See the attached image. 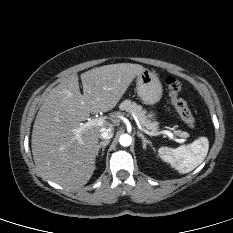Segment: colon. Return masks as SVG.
<instances>
[{"mask_svg":"<svg viewBox=\"0 0 233 233\" xmlns=\"http://www.w3.org/2000/svg\"><path fill=\"white\" fill-rule=\"evenodd\" d=\"M168 95L175 110L179 114L183 122L192 127L195 125V117L191 112L186 101L180 96L182 84L174 77H168L165 81Z\"/></svg>","mask_w":233,"mask_h":233,"instance_id":"obj_1","label":"colon"}]
</instances>
